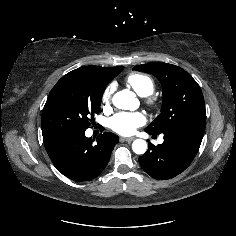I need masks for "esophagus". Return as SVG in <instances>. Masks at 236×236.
I'll return each mask as SVG.
<instances>
[{
  "label": "esophagus",
  "instance_id": "obj_1",
  "mask_svg": "<svg viewBox=\"0 0 236 236\" xmlns=\"http://www.w3.org/2000/svg\"><path fill=\"white\" fill-rule=\"evenodd\" d=\"M120 139H121L122 141L132 142L135 138H134V137H129V138L121 137Z\"/></svg>",
  "mask_w": 236,
  "mask_h": 236
}]
</instances>
